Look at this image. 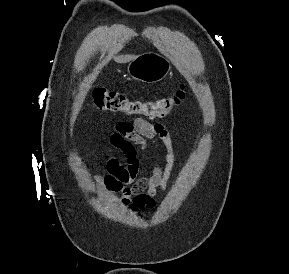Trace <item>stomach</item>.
Returning <instances> with one entry per match:
<instances>
[{
	"instance_id": "1",
	"label": "stomach",
	"mask_w": 289,
	"mask_h": 274,
	"mask_svg": "<svg viewBox=\"0 0 289 274\" xmlns=\"http://www.w3.org/2000/svg\"><path fill=\"white\" fill-rule=\"evenodd\" d=\"M171 69L170 61L156 52H146L135 57L128 65V74L135 80L156 83L164 79Z\"/></svg>"
}]
</instances>
